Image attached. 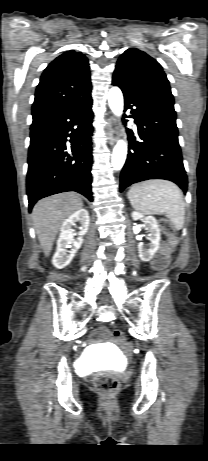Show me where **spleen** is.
<instances>
[{"label": "spleen", "instance_id": "spleen-1", "mask_svg": "<svg viewBox=\"0 0 208 461\" xmlns=\"http://www.w3.org/2000/svg\"><path fill=\"white\" fill-rule=\"evenodd\" d=\"M127 196L132 207L141 214H164L177 230L184 226L183 193L173 182L149 180L137 183Z\"/></svg>", "mask_w": 208, "mask_h": 461}]
</instances>
